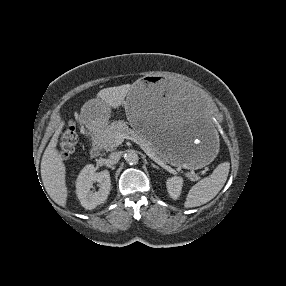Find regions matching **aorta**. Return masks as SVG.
I'll use <instances>...</instances> for the list:
<instances>
[{
	"label": "aorta",
	"instance_id": "762f6f07",
	"mask_svg": "<svg viewBox=\"0 0 286 286\" xmlns=\"http://www.w3.org/2000/svg\"><path fill=\"white\" fill-rule=\"evenodd\" d=\"M125 160L127 163L133 165L138 163L139 157L134 150H130L125 154Z\"/></svg>",
	"mask_w": 286,
	"mask_h": 286
}]
</instances>
